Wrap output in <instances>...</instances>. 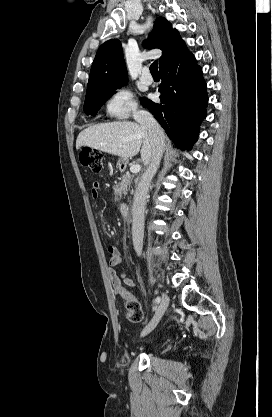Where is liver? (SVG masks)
I'll return each instance as SVG.
<instances>
[{
    "label": "liver",
    "mask_w": 272,
    "mask_h": 417,
    "mask_svg": "<svg viewBox=\"0 0 272 417\" xmlns=\"http://www.w3.org/2000/svg\"><path fill=\"white\" fill-rule=\"evenodd\" d=\"M82 146L125 159L137 155L140 151L144 165H148L152 158L148 131L141 125L129 121L102 123L84 129L77 137L76 149Z\"/></svg>",
    "instance_id": "liver-1"
}]
</instances>
